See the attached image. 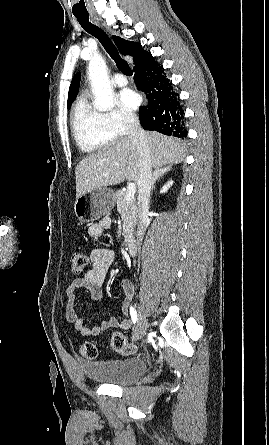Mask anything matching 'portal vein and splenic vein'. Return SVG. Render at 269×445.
<instances>
[{
    "label": "portal vein and splenic vein",
    "instance_id": "18ae733b",
    "mask_svg": "<svg viewBox=\"0 0 269 445\" xmlns=\"http://www.w3.org/2000/svg\"><path fill=\"white\" fill-rule=\"evenodd\" d=\"M135 193H136V184L129 183L127 192H126V200L129 201L131 199H134Z\"/></svg>",
    "mask_w": 269,
    "mask_h": 445
}]
</instances>
